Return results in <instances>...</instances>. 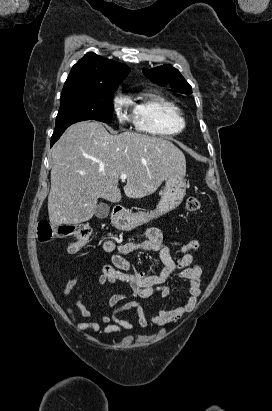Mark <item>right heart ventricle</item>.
I'll use <instances>...</instances> for the list:
<instances>
[{"label":"right heart ventricle","instance_id":"1","mask_svg":"<svg viewBox=\"0 0 272 411\" xmlns=\"http://www.w3.org/2000/svg\"><path fill=\"white\" fill-rule=\"evenodd\" d=\"M126 99L133 108L135 125L140 131L168 136L178 134L185 128L181 109L158 94L147 92L137 98Z\"/></svg>","mask_w":272,"mask_h":411}]
</instances>
